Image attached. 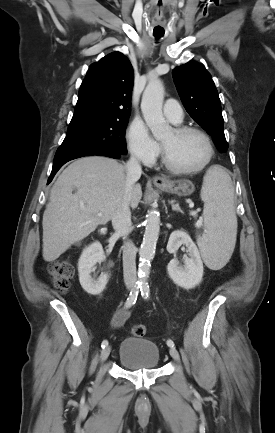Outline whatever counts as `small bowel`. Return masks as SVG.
Instances as JSON below:
<instances>
[{"label":"small bowel","mask_w":275,"mask_h":433,"mask_svg":"<svg viewBox=\"0 0 275 433\" xmlns=\"http://www.w3.org/2000/svg\"><path fill=\"white\" fill-rule=\"evenodd\" d=\"M130 316V311L126 308H119L111 319V325L114 328H120L124 325Z\"/></svg>","instance_id":"c3829d8e"}]
</instances>
